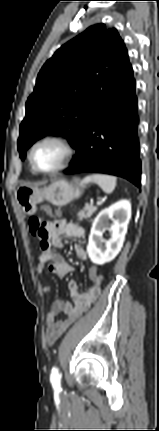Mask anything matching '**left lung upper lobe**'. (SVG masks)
Masks as SVG:
<instances>
[{"mask_svg": "<svg viewBox=\"0 0 159 431\" xmlns=\"http://www.w3.org/2000/svg\"><path fill=\"white\" fill-rule=\"evenodd\" d=\"M130 68L123 40L104 24L90 26L61 46L43 65L26 102L18 139L21 159L45 135H64L75 148Z\"/></svg>", "mask_w": 159, "mask_h": 431, "instance_id": "obj_1", "label": "left lung upper lobe"}]
</instances>
